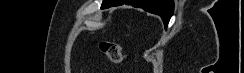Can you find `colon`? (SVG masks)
I'll list each match as a JSON object with an SVG mask.
<instances>
[{
    "label": "colon",
    "instance_id": "colon-1",
    "mask_svg": "<svg viewBox=\"0 0 244 73\" xmlns=\"http://www.w3.org/2000/svg\"><path fill=\"white\" fill-rule=\"evenodd\" d=\"M100 49L112 63H120L123 60L122 49L118 42L104 40L100 43Z\"/></svg>",
    "mask_w": 244,
    "mask_h": 73
}]
</instances>
